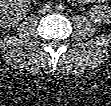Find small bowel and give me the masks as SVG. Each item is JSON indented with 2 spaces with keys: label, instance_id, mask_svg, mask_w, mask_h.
<instances>
[{
  "label": "small bowel",
  "instance_id": "small-bowel-1",
  "mask_svg": "<svg viewBox=\"0 0 111 106\" xmlns=\"http://www.w3.org/2000/svg\"><path fill=\"white\" fill-rule=\"evenodd\" d=\"M85 2H92V1H89V0L87 1V0H86Z\"/></svg>",
  "mask_w": 111,
  "mask_h": 106
}]
</instances>
